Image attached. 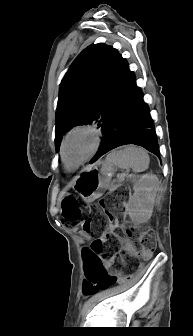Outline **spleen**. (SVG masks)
<instances>
[{"label": "spleen", "mask_w": 193, "mask_h": 336, "mask_svg": "<svg viewBox=\"0 0 193 336\" xmlns=\"http://www.w3.org/2000/svg\"><path fill=\"white\" fill-rule=\"evenodd\" d=\"M149 161V155L143 148L132 145L113 150L106 157L107 163L120 169L131 168L135 173L145 171L149 166Z\"/></svg>", "instance_id": "3e777b00"}]
</instances>
